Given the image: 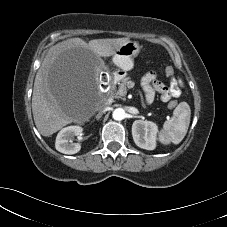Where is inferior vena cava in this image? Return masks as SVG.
Here are the masks:
<instances>
[{
  "label": "inferior vena cava",
  "instance_id": "inferior-vena-cava-1",
  "mask_svg": "<svg viewBox=\"0 0 227 227\" xmlns=\"http://www.w3.org/2000/svg\"><path fill=\"white\" fill-rule=\"evenodd\" d=\"M104 109H105V105H101L99 108H98V114H97V116L98 117H101V115L103 114V112H104Z\"/></svg>",
  "mask_w": 227,
  "mask_h": 227
}]
</instances>
